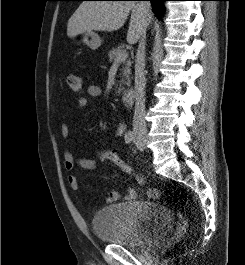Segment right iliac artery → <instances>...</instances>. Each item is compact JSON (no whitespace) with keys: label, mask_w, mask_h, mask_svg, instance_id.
<instances>
[{"label":"right iliac artery","mask_w":245,"mask_h":265,"mask_svg":"<svg viewBox=\"0 0 245 265\" xmlns=\"http://www.w3.org/2000/svg\"><path fill=\"white\" fill-rule=\"evenodd\" d=\"M124 138H125V142H126V143H131L132 140H133V138H134L133 132L128 131V132L125 134Z\"/></svg>","instance_id":"obj_1"}]
</instances>
